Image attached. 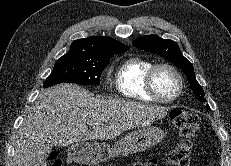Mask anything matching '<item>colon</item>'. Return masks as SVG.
<instances>
[{
	"mask_svg": "<svg viewBox=\"0 0 231 166\" xmlns=\"http://www.w3.org/2000/svg\"><path fill=\"white\" fill-rule=\"evenodd\" d=\"M174 126L178 131L181 140L170 151L167 157L168 166H189L193 150V142L199 128V118L196 114L179 109L170 112ZM52 166H61V160L57 153H52L49 157ZM133 166H158L155 159H145L135 162Z\"/></svg>",
	"mask_w": 231,
	"mask_h": 166,
	"instance_id": "1",
	"label": "colon"
}]
</instances>
